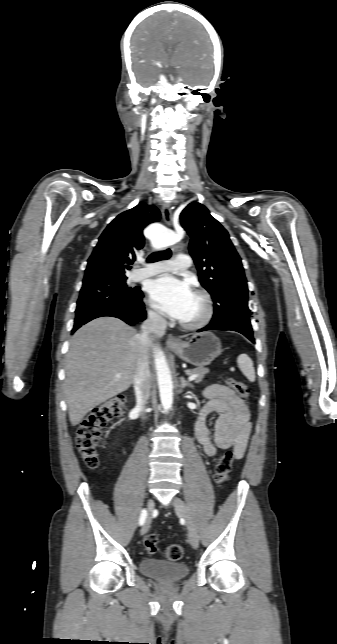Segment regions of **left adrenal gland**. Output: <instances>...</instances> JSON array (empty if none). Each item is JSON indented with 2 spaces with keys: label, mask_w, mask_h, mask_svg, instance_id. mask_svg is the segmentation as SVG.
I'll return each instance as SVG.
<instances>
[{
  "label": "left adrenal gland",
  "mask_w": 337,
  "mask_h": 644,
  "mask_svg": "<svg viewBox=\"0 0 337 644\" xmlns=\"http://www.w3.org/2000/svg\"><path fill=\"white\" fill-rule=\"evenodd\" d=\"M180 382H181V384H180V388H181V389H183V388H185V387H191V388H193V387H194V386H193V384H191L190 382H188L187 380H185V378H184V377H181V378H180Z\"/></svg>",
  "instance_id": "left-adrenal-gland-1"
}]
</instances>
